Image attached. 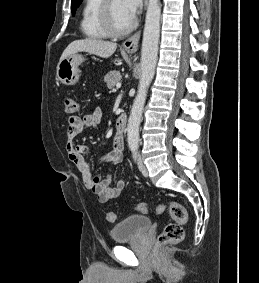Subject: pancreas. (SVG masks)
Instances as JSON below:
<instances>
[{
  "label": "pancreas",
  "mask_w": 259,
  "mask_h": 283,
  "mask_svg": "<svg viewBox=\"0 0 259 283\" xmlns=\"http://www.w3.org/2000/svg\"><path fill=\"white\" fill-rule=\"evenodd\" d=\"M121 78L122 76L119 71H110L107 75H105L104 81L109 89H113L117 83H120Z\"/></svg>",
  "instance_id": "1"
}]
</instances>
